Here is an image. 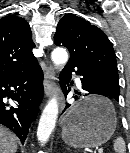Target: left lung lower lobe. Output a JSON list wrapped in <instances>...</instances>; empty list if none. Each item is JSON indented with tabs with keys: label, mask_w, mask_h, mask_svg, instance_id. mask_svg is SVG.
<instances>
[{
	"label": "left lung lower lobe",
	"mask_w": 130,
	"mask_h": 153,
	"mask_svg": "<svg viewBox=\"0 0 130 153\" xmlns=\"http://www.w3.org/2000/svg\"><path fill=\"white\" fill-rule=\"evenodd\" d=\"M72 72L80 75L82 82V92H75L80 96H87L90 94H98L111 97L116 101H119V95L112 91V89L106 84L102 76L92 67L82 63H67L60 74V85L65 96L68 94L70 88L67 89L69 81L71 79ZM78 96H75V100ZM70 106L66 104L64 111Z\"/></svg>",
	"instance_id": "1"
}]
</instances>
